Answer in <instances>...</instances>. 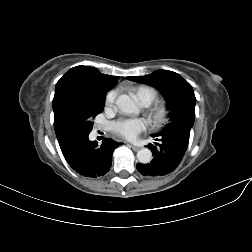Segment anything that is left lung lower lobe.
Here are the masks:
<instances>
[{"mask_svg":"<svg viewBox=\"0 0 252 252\" xmlns=\"http://www.w3.org/2000/svg\"><path fill=\"white\" fill-rule=\"evenodd\" d=\"M156 136L160 143L148 145L154 155L151 162L137 164V170L144 176H164L178 167L188 147L190 129L176 128Z\"/></svg>","mask_w":252,"mask_h":252,"instance_id":"left-lung-lower-lobe-1","label":"left lung lower lobe"}]
</instances>
